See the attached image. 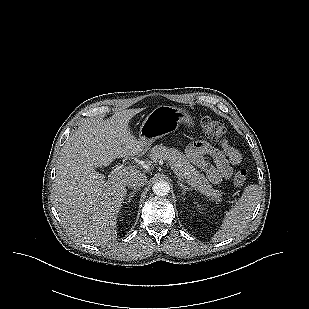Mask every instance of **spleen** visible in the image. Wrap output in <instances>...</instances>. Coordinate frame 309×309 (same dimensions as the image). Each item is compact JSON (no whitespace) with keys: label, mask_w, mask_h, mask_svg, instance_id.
Wrapping results in <instances>:
<instances>
[{"label":"spleen","mask_w":309,"mask_h":309,"mask_svg":"<svg viewBox=\"0 0 309 309\" xmlns=\"http://www.w3.org/2000/svg\"><path fill=\"white\" fill-rule=\"evenodd\" d=\"M259 197L260 191L258 185H248L235 206L226 212L221 227L212 240L222 241L242 231L247 226L258 204Z\"/></svg>","instance_id":"obj_1"}]
</instances>
